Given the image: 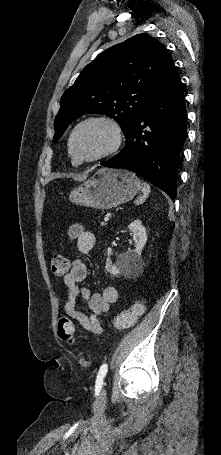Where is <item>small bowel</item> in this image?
Returning <instances> with one entry per match:
<instances>
[{"label": "small bowel", "instance_id": "obj_1", "mask_svg": "<svg viewBox=\"0 0 221 455\" xmlns=\"http://www.w3.org/2000/svg\"><path fill=\"white\" fill-rule=\"evenodd\" d=\"M69 238L72 242H75L77 249L81 253L90 252L96 243L95 235L80 226H73L70 229ZM87 274V266L81 259H74L71 262L70 271L63 278L66 287L63 312L90 333L100 335L103 332V326L99 317L110 310L111 305L118 298V292L115 287L106 286L100 293H92L88 287L80 286V283L86 279ZM79 299L87 303L88 313L77 309Z\"/></svg>", "mask_w": 221, "mask_h": 455}]
</instances>
